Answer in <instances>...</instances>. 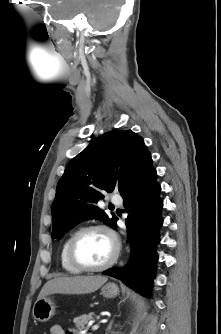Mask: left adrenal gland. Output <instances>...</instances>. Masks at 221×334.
Segmentation results:
<instances>
[{
	"mask_svg": "<svg viewBox=\"0 0 221 334\" xmlns=\"http://www.w3.org/2000/svg\"><path fill=\"white\" fill-rule=\"evenodd\" d=\"M112 323H113V322H110V323H109L108 328H107V331H109V330L111 329V327H112ZM106 334H107V333H106Z\"/></svg>",
	"mask_w": 221,
	"mask_h": 334,
	"instance_id": "left-adrenal-gland-1",
	"label": "left adrenal gland"
}]
</instances>
